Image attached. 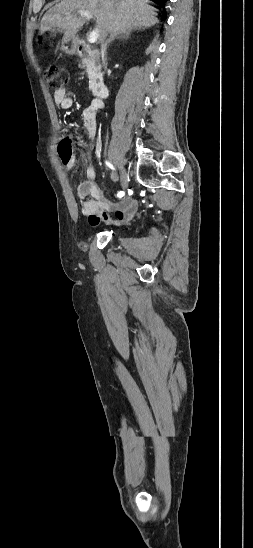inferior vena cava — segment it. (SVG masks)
Here are the masks:
<instances>
[{"instance_id":"1","label":"inferior vena cava","mask_w":253,"mask_h":548,"mask_svg":"<svg viewBox=\"0 0 253 548\" xmlns=\"http://www.w3.org/2000/svg\"><path fill=\"white\" fill-rule=\"evenodd\" d=\"M105 44H106V43H104V41L102 40V45H101V53H102V56L104 55V53H105V51H106ZM103 66H104V69L106 70L107 64L105 63V61H103Z\"/></svg>"}]
</instances>
